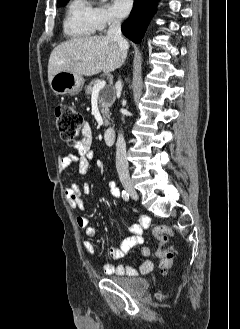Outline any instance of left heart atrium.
I'll return each instance as SVG.
<instances>
[{
	"instance_id": "left-heart-atrium-1",
	"label": "left heart atrium",
	"mask_w": 240,
	"mask_h": 329,
	"mask_svg": "<svg viewBox=\"0 0 240 329\" xmlns=\"http://www.w3.org/2000/svg\"><path fill=\"white\" fill-rule=\"evenodd\" d=\"M133 5V0H113V12L118 17H125L129 14Z\"/></svg>"
}]
</instances>
